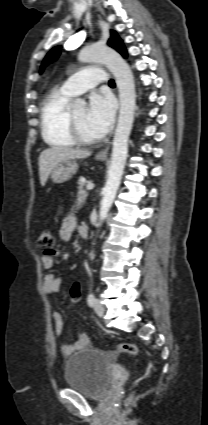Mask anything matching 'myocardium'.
I'll return each mask as SVG.
<instances>
[{"instance_id": "obj_1", "label": "myocardium", "mask_w": 208, "mask_h": 425, "mask_svg": "<svg viewBox=\"0 0 208 425\" xmlns=\"http://www.w3.org/2000/svg\"><path fill=\"white\" fill-rule=\"evenodd\" d=\"M68 123H69V129H70L71 136H72L73 140L75 141V143H77L79 145L89 146V145L96 144L98 142V139H88L82 134V132L79 128V125H78L77 121L75 120L72 111H70V110H69V113H68Z\"/></svg>"}]
</instances>
